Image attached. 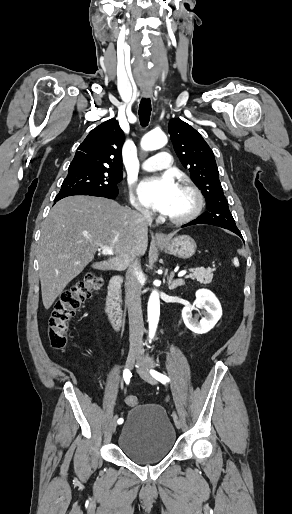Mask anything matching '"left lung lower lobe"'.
<instances>
[{
	"mask_svg": "<svg viewBox=\"0 0 292 514\" xmlns=\"http://www.w3.org/2000/svg\"><path fill=\"white\" fill-rule=\"evenodd\" d=\"M195 224H206V223L201 222L199 220V218H197V219H195V220H193V221L183 225L182 227H186V226H190V225H195ZM230 231L234 232L235 234H237L238 236H240L243 239V237L241 235V232L239 230H230Z\"/></svg>",
	"mask_w": 292,
	"mask_h": 514,
	"instance_id": "1",
	"label": "left lung lower lobe"
}]
</instances>
